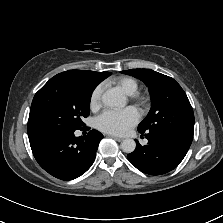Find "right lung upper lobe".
Segmentation results:
<instances>
[{
	"label": "right lung upper lobe",
	"mask_w": 223,
	"mask_h": 223,
	"mask_svg": "<svg viewBox=\"0 0 223 223\" xmlns=\"http://www.w3.org/2000/svg\"><path fill=\"white\" fill-rule=\"evenodd\" d=\"M111 72H94L89 70H68L52 77L50 82H62L82 87H96Z\"/></svg>",
	"instance_id": "1"
}]
</instances>
